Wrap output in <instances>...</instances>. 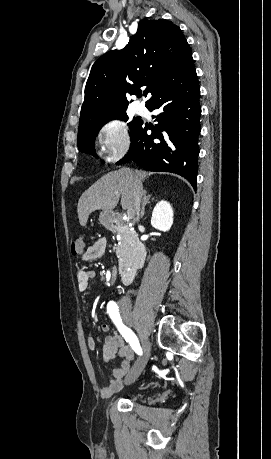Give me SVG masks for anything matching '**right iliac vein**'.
<instances>
[{
  "instance_id": "63e3f726",
  "label": "right iliac vein",
  "mask_w": 271,
  "mask_h": 459,
  "mask_svg": "<svg viewBox=\"0 0 271 459\" xmlns=\"http://www.w3.org/2000/svg\"><path fill=\"white\" fill-rule=\"evenodd\" d=\"M131 312L132 311L125 309L123 311V315L126 318L127 322L132 324V313ZM142 346H143L144 354L141 357H139L137 362L133 365V367L128 372L127 377L125 379L126 384L133 383L140 376L143 368L147 364V358L150 355V349H151L149 341L146 339L142 340Z\"/></svg>"
}]
</instances>
